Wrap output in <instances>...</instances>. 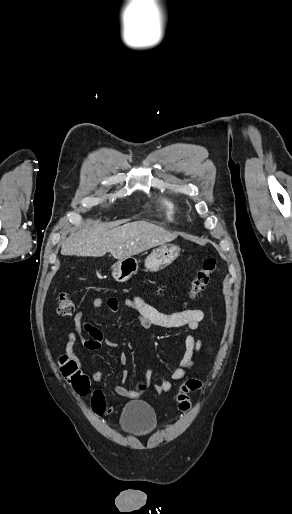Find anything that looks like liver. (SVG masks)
Instances as JSON below:
<instances>
[{
    "mask_svg": "<svg viewBox=\"0 0 292 514\" xmlns=\"http://www.w3.org/2000/svg\"><path fill=\"white\" fill-rule=\"evenodd\" d=\"M178 234L149 222H130L109 230L103 222L89 220L87 228L71 234L62 244L63 256H105L107 252L116 260L130 258L145 250L172 242Z\"/></svg>",
    "mask_w": 292,
    "mask_h": 514,
    "instance_id": "obj_1",
    "label": "liver"
}]
</instances>
